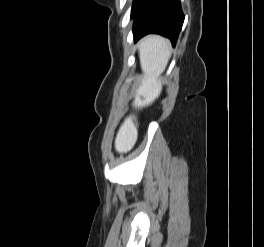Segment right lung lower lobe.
I'll return each instance as SVG.
<instances>
[{
	"label": "right lung lower lobe",
	"mask_w": 264,
	"mask_h": 247,
	"mask_svg": "<svg viewBox=\"0 0 264 247\" xmlns=\"http://www.w3.org/2000/svg\"><path fill=\"white\" fill-rule=\"evenodd\" d=\"M134 16L135 41L156 33L169 38L173 46L184 21L180 0H134L131 18Z\"/></svg>",
	"instance_id": "right-lung-lower-lobe-1"
}]
</instances>
